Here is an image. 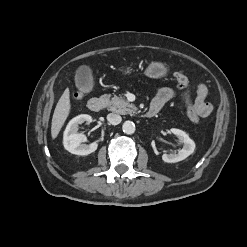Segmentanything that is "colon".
Masks as SVG:
<instances>
[{
	"mask_svg": "<svg viewBox=\"0 0 247 247\" xmlns=\"http://www.w3.org/2000/svg\"><path fill=\"white\" fill-rule=\"evenodd\" d=\"M176 81L179 89L181 90H186L189 87V79L185 74L182 72H178L176 75ZM84 90L83 89H77L74 91V97L79 99L84 95ZM187 113L190 118V120L193 123H199L200 121V111L197 110L194 105H192L190 102L187 104Z\"/></svg>",
	"mask_w": 247,
	"mask_h": 247,
	"instance_id": "1",
	"label": "colon"
}]
</instances>
